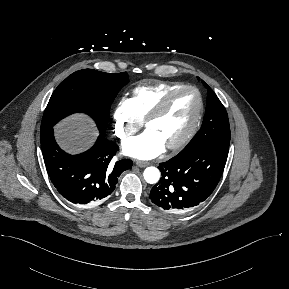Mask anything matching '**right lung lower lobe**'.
<instances>
[{
  "instance_id": "98d812e1",
  "label": "right lung lower lobe",
  "mask_w": 289,
  "mask_h": 289,
  "mask_svg": "<svg viewBox=\"0 0 289 289\" xmlns=\"http://www.w3.org/2000/svg\"><path fill=\"white\" fill-rule=\"evenodd\" d=\"M41 148L55 188L77 205H94L106 200L120 174L132 167L131 160L111 162L119 147L102 134L88 151L70 155L57 145L50 127L41 132Z\"/></svg>"
}]
</instances>
